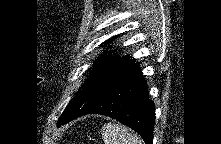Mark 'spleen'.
Here are the masks:
<instances>
[{"label": "spleen", "mask_w": 221, "mask_h": 144, "mask_svg": "<svg viewBox=\"0 0 221 144\" xmlns=\"http://www.w3.org/2000/svg\"><path fill=\"white\" fill-rule=\"evenodd\" d=\"M102 138L105 144H143L136 133L114 123H107L102 127Z\"/></svg>", "instance_id": "1"}]
</instances>
